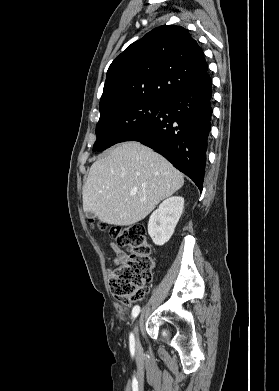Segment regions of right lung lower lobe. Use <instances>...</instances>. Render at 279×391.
Listing matches in <instances>:
<instances>
[{
	"instance_id": "right-lung-lower-lobe-1",
	"label": "right lung lower lobe",
	"mask_w": 279,
	"mask_h": 391,
	"mask_svg": "<svg viewBox=\"0 0 279 391\" xmlns=\"http://www.w3.org/2000/svg\"><path fill=\"white\" fill-rule=\"evenodd\" d=\"M212 80L206 73L166 100L156 117L129 132L122 140L151 147L202 190L210 118Z\"/></svg>"
}]
</instances>
